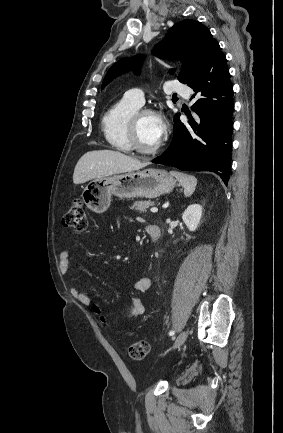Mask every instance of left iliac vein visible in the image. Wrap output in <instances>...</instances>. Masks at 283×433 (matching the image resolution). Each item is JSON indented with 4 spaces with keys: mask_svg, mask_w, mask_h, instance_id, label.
Here are the masks:
<instances>
[{
    "mask_svg": "<svg viewBox=\"0 0 283 433\" xmlns=\"http://www.w3.org/2000/svg\"><path fill=\"white\" fill-rule=\"evenodd\" d=\"M186 339H187V332L186 331H182L178 335V337L176 338V340H175V342L173 344L172 349H176V348L181 347L184 344V342L186 341Z\"/></svg>",
    "mask_w": 283,
    "mask_h": 433,
    "instance_id": "1",
    "label": "left iliac vein"
}]
</instances>
